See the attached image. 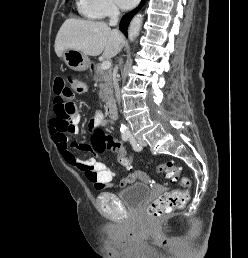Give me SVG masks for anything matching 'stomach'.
<instances>
[{
  "instance_id": "stomach-1",
  "label": "stomach",
  "mask_w": 248,
  "mask_h": 258,
  "mask_svg": "<svg viewBox=\"0 0 248 258\" xmlns=\"http://www.w3.org/2000/svg\"><path fill=\"white\" fill-rule=\"evenodd\" d=\"M63 60L66 65L74 71H85L90 66V60L84 53L68 49L63 53Z\"/></svg>"
}]
</instances>
